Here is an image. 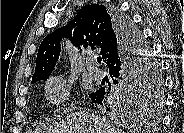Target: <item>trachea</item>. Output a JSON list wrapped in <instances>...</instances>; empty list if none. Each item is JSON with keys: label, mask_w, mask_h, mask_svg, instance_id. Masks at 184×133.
<instances>
[{"label": "trachea", "mask_w": 184, "mask_h": 133, "mask_svg": "<svg viewBox=\"0 0 184 133\" xmlns=\"http://www.w3.org/2000/svg\"><path fill=\"white\" fill-rule=\"evenodd\" d=\"M97 62L101 63L102 62V58L101 57H97Z\"/></svg>", "instance_id": "3493384b"}]
</instances>
